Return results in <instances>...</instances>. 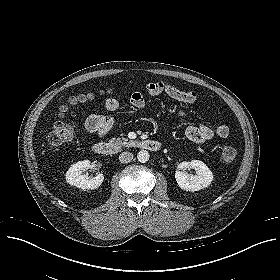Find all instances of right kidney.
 I'll return each instance as SVG.
<instances>
[{
	"label": "right kidney",
	"instance_id": "obj_1",
	"mask_svg": "<svg viewBox=\"0 0 280 280\" xmlns=\"http://www.w3.org/2000/svg\"><path fill=\"white\" fill-rule=\"evenodd\" d=\"M91 162L89 160L78 161L73 164L66 172V181L72 186H76L80 189H96L103 180V174H98L95 177H89L82 173L83 170L90 167Z\"/></svg>",
	"mask_w": 280,
	"mask_h": 280
}]
</instances>
